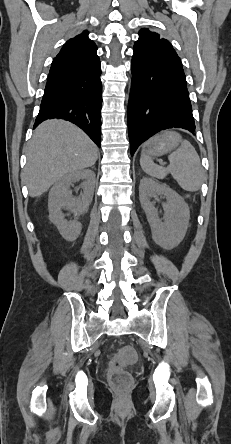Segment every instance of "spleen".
I'll return each mask as SVG.
<instances>
[{
	"label": "spleen",
	"instance_id": "1",
	"mask_svg": "<svg viewBox=\"0 0 231 444\" xmlns=\"http://www.w3.org/2000/svg\"><path fill=\"white\" fill-rule=\"evenodd\" d=\"M153 141L154 139L143 146L140 158L143 171L157 179H164L170 173L182 189L190 192L198 191L203 183L204 174L199 155L191 143L186 140L181 141V146L168 156L169 166L164 168L155 164L145 153V148Z\"/></svg>",
	"mask_w": 231,
	"mask_h": 444
}]
</instances>
